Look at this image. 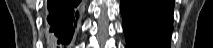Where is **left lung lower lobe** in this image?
Wrapping results in <instances>:
<instances>
[{
	"label": "left lung lower lobe",
	"instance_id": "left-lung-lower-lobe-1",
	"mask_svg": "<svg viewBox=\"0 0 213 48\" xmlns=\"http://www.w3.org/2000/svg\"><path fill=\"white\" fill-rule=\"evenodd\" d=\"M174 0H121L126 48H170Z\"/></svg>",
	"mask_w": 213,
	"mask_h": 48
}]
</instances>
